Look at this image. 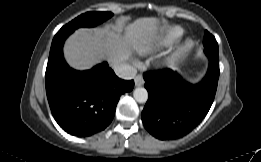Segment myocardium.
Returning a JSON list of instances; mask_svg holds the SVG:
<instances>
[{
    "label": "myocardium",
    "instance_id": "f54148a6",
    "mask_svg": "<svg viewBox=\"0 0 261 162\" xmlns=\"http://www.w3.org/2000/svg\"><path fill=\"white\" fill-rule=\"evenodd\" d=\"M193 42L188 39L185 41V43L177 50V52L174 55L175 59H178L184 55V53L192 46Z\"/></svg>",
    "mask_w": 261,
    "mask_h": 162
}]
</instances>
